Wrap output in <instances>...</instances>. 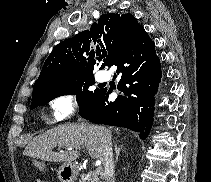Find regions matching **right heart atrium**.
Listing matches in <instances>:
<instances>
[{
  "mask_svg": "<svg viewBox=\"0 0 211 182\" xmlns=\"http://www.w3.org/2000/svg\"><path fill=\"white\" fill-rule=\"evenodd\" d=\"M50 119L60 123L72 117L78 110V101L74 94H62L49 102Z\"/></svg>",
  "mask_w": 211,
  "mask_h": 182,
  "instance_id": "obj_1",
  "label": "right heart atrium"
}]
</instances>
